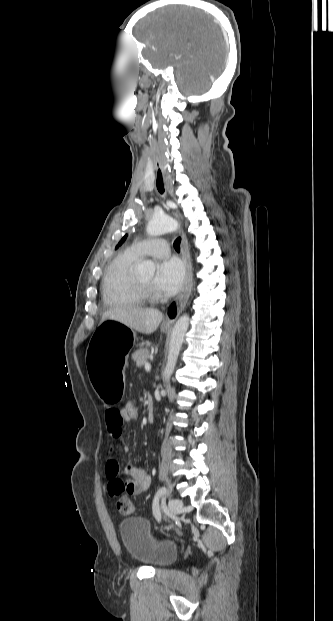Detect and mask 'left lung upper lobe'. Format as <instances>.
<instances>
[{
  "label": "left lung upper lobe",
  "instance_id": "left-lung-upper-lobe-1",
  "mask_svg": "<svg viewBox=\"0 0 333 621\" xmlns=\"http://www.w3.org/2000/svg\"><path fill=\"white\" fill-rule=\"evenodd\" d=\"M127 238V234L120 240V242L118 243V245L116 246V249L123 244V242L125 241V239Z\"/></svg>",
  "mask_w": 333,
  "mask_h": 621
}]
</instances>
